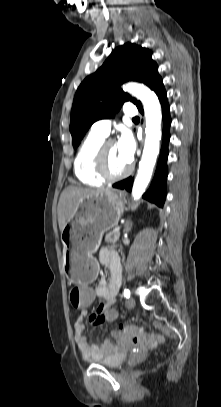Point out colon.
<instances>
[{
	"mask_svg": "<svg viewBox=\"0 0 221 407\" xmlns=\"http://www.w3.org/2000/svg\"><path fill=\"white\" fill-rule=\"evenodd\" d=\"M71 303L76 311H88L89 306H92L95 298L94 284L93 283H73L72 291L70 293ZM103 320L105 322H112L119 320V313L117 312L116 305H106ZM123 327L120 329L124 336H128L134 342L139 343L146 349L157 347L163 342V337L159 334H145L142 331L129 328L130 322L124 321L121 324Z\"/></svg>",
	"mask_w": 221,
	"mask_h": 407,
	"instance_id": "5ec220e1",
	"label": "colon"
}]
</instances>
